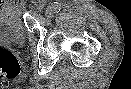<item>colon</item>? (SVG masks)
<instances>
[{
  "label": "colon",
  "instance_id": "1",
  "mask_svg": "<svg viewBox=\"0 0 131 89\" xmlns=\"http://www.w3.org/2000/svg\"><path fill=\"white\" fill-rule=\"evenodd\" d=\"M20 69L16 56L10 50L0 47V78H15Z\"/></svg>",
  "mask_w": 131,
  "mask_h": 89
}]
</instances>
